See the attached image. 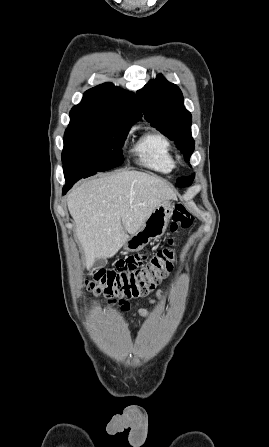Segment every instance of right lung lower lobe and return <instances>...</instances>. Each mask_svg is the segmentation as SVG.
Returning <instances> with one entry per match:
<instances>
[{"label":"right lung lower lobe","instance_id":"right-lung-lower-lobe-1","mask_svg":"<svg viewBox=\"0 0 269 447\" xmlns=\"http://www.w3.org/2000/svg\"><path fill=\"white\" fill-rule=\"evenodd\" d=\"M97 172L90 171L86 173H82V170L80 167H73L71 169L64 168V175L66 179V185L63 188V194H65L71 186L78 181L81 178H85L86 175H94Z\"/></svg>","mask_w":269,"mask_h":447}]
</instances>
